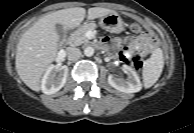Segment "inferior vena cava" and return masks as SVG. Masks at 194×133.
I'll return each instance as SVG.
<instances>
[{"label": "inferior vena cava", "instance_id": "inferior-vena-cava-1", "mask_svg": "<svg viewBox=\"0 0 194 133\" xmlns=\"http://www.w3.org/2000/svg\"><path fill=\"white\" fill-rule=\"evenodd\" d=\"M66 53L69 60H78L81 57V51L75 47L67 48Z\"/></svg>", "mask_w": 194, "mask_h": 133}]
</instances>
